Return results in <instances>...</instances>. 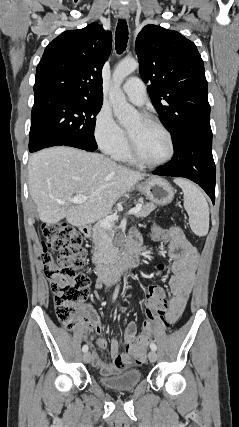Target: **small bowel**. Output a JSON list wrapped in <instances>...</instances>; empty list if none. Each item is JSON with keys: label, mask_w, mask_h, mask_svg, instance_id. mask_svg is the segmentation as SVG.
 I'll list each match as a JSON object with an SVG mask.
<instances>
[{"label": "small bowel", "mask_w": 239, "mask_h": 427, "mask_svg": "<svg viewBox=\"0 0 239 427\" xmlns=\"http://www.w3.org/2000/svg\"><path fill=\"white\" fill-rule=\"evenodd\" d=\"M152 230V229H151ZM170 236L168 251L173 259L172 275L169 279V287L172 297L167 302L165 308V318L169 324L177 322L186 306L189 294L193 287L195 271L199 259L196 248L186 239L183 231L176 226H172L166 232ZM132 243L141 245V236L133 231L131 234ZM102 280H97L96 288L101 289ZM123 312L124 310L121 309ZM88 315L93 324L94 332L99 335L102 332V326L98 315L92 309H88ZM137 338V325L135 322H129L125 328L124 341L128 347L132 346ZM96 346L98 349H104L107 342L104 338H97ZM111 362H105L97 353L91 356L92 364L97 367L103 375H114L127 369L131 364V357L128 353H120L118 341L113 338L110 341Z\"/></svg>", "instance_id": "obj_1"}]
</instances>
